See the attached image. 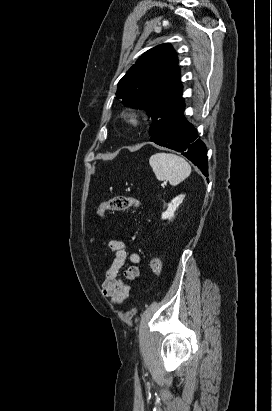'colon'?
Masks as SVG:
<instances>
[{
  "label": "colon",
  "mask_w": 272,
  "mask_h": 411,
  "mask_svg": "<svg viewBox=\"0 0 272 411\" xmlns=\"http://www.w3.org/2000/svg\"><path fill=\"white\" fill-rule=\"evenodd\" d=\"M140 201L136 197L128 196H113L102 202L96 207L95 214L97 217H103L107 212L126 211L132 208H137ZM150 266L157 278L162 275V262L158 257H152Z\"/></svg>",
  "instance_id": "colon-1"
}]
</instances>
